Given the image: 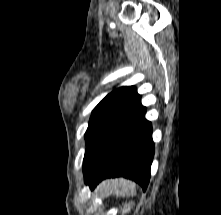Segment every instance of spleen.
I'll use <instances>...</instances> for the list:
<instances>
[{
    "instance_id": "1",
    "label": "spleen",
    "mask_w": 221,
    "mask_h": 215,
    "mask_svg": "<svg viewBox=\"0 0 221 215\" xmlns=\"http://www.w3.org/2000/svg\"><path fill=\"white\" fill-rule=\"evenodd\" d=\"M114 185L115 186H122V187H124V186H126L127 185V182L126 181H116V182H114ZM132 205H133V202H131V203H128V204H125V206H124V209H123V213H128V212H130V209H131V207H132Z\"/></svg>"
}]
</instances>
